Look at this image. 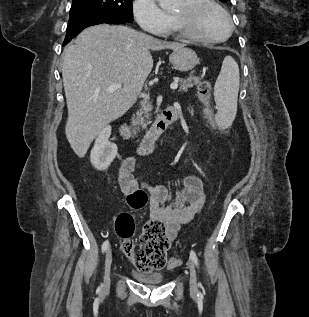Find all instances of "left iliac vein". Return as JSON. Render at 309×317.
<instances>
[{"label": "left iliac vein", "instance_id": "obj_1", "mask_svg": "<svg viewBox=\"0 0 309 317\" xmlns=\"http://www.w3.org/2000/svg\"><path fill=\"white\" fill-rule=\"evenodd\" d=\"M188 267L190 271V291L195 294L198 289L197 273H196L194 263L191 259L188 260Z\"/></svg>", "mask_w": 309, "mask_h": 317}]
</instances>
